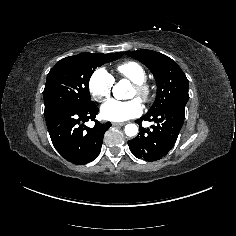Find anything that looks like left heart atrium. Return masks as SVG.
Returning a JSON list of instances; mask_svg holds the SVG:
<instances>
[{"mask_svg":"<svg viewBox=\"0 0 236 236\" xmlns=\"http://www.w3.org/2000/svg\"><path fill=\"white\" fill-rule=\"evenodd\" d=\"M142 113V104L138 99L127 102L110 101L101 110V117L112 122H123Z\"/></svg>","mask_w":236,"mask_h":236,"instance_id":"39dd6f15","label":"left heart atrium"}]
</instances>
